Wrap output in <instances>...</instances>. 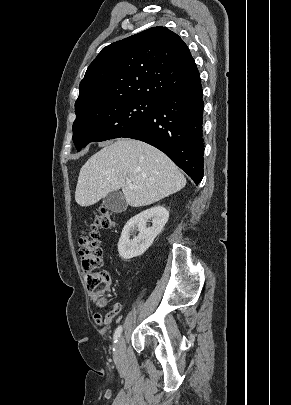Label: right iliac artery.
I'll return each instance as SVG.
<instances>
[{"label": "right iliac artery", "mask_w": 291, "mask_h": 405, "mask_svg": "<svg viewBox=\"0 0 291 405\" xmlns=\"http://www.w3.org/2000/svg\"><path fill=\"white\" fill-rule=\"evenodd\" d=\"M121 333H122V326H118V328L114 332V337H113L114 343H116L118 341V338L120 337ZM113 350H115V349L113 348Z\"/></svg>", "instance_id": "right-iliac-artery-1"}]
</instances>
